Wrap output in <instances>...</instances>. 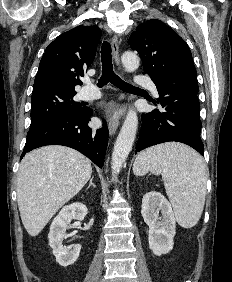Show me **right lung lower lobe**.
I'll use <instances>...</instances> for the list:
<instances>
[{"instance_id": "1", "label": "right lung lower lobe", "mask_w": 232, "mask_h": 282, "mask_svg": "<svg viewBox=\"0 0 232 282\" xmlns=\"http://www.w3.org/2000/svg\"><path fill=\"white\" fill-rule=\"evenodd\" d=\"M91 115L92 109L86 108L82 113L60 114L30 128L20 159L26 152L41 146L64 145L83 153L102 168L108 143V128L105 122L100 129L90 128L88 122Z\"/></svg>"}]
</instances>
